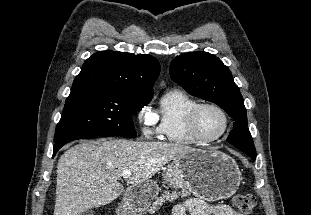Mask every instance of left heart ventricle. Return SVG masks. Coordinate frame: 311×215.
<instances>
[{
    "instance_id": "b2bd125f",
    "label": "left heart ventricle",
    "mask_w": 311,
    "mask_h": 215,
    "mask_svg": "<svg viewBox=\"0 0 311 215\" xmlns=\"http://www.w3.org/2000/svg\"><path fill=\"white\" fill-rule=\"evenodd\" d=\"M197 125L202 135L213 137L222 130L224 121L220 113L215 109L204 108L199 113Z\"/></svg>"
}]
</instances>
